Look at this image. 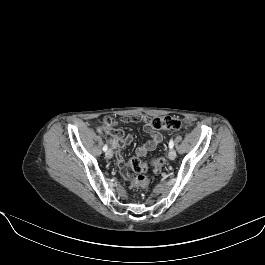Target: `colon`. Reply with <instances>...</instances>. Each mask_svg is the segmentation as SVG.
Segmentation results:
<instances>
[{
	"label": "colon",
	"instance_id": "obj_1",
	"mask_svg": "<svg viewBox=\"0 0 265 265\" xmlns=\"http://www.w3.org/2000/svg\"><path fill=\"white\" fill-rule=\"evenodd\" d=\"M105 124L111 126L113 120L110 117L105 118ZM152 126L155 129H165L172 131H179L187 129L188 124L178 117L163 116L156 117L152 120ZM164 158H156L150 161L141 160L139 158H132L128 162V166L137 174L136 178L132 181V186L140 189H147L150 185V179L146 176L150 167L158 169L164 164Z\"/></svg>",
	"mask_w": 265,
	"mask_h": 265
}]
</instances>
